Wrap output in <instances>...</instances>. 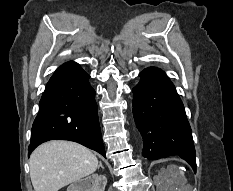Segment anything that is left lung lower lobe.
Returning a JSON list of instances; mask_svg holds the SVG:
<instances>
[{"instance_id": "1", "label": "left lung lower lobe", "mask_w": 233, "mask_h": 191, "mask_svg": "<svg viewBox=\"0 0 233 191\" xmlns=\"http://www.w3.org/2000/svg\"><path fill=\"white\" fill-rule=\"evenodd\" d=\"M133 88V114L148 160L179 156L196 172L195 148L183 103L159 68L149 67Z\"/></svg>"}]
</instances>
